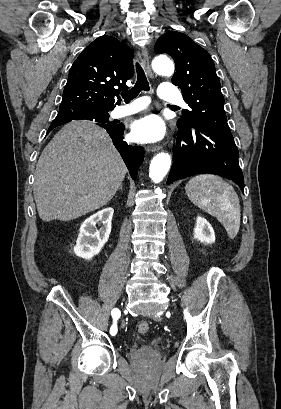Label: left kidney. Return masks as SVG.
<instances>
[{
  "instance_id": "obj_1",
  "label": "left kidney",
  "mask_w": 281,
  "mask_h": 409,
  "mask_svg": "<svg viewBox=\"0 0 281 409\" xmlns=\"http://www.w3.org/2000/svg\"><path fill=\"white\" fill-rule=\"evenodd\" d=\"M194 239L200 243H215V233L208 221L203 217H197L194 229Z\"/></svg>"
}]
</instances>
